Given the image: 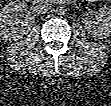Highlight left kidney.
Returning a JSON list of instances; mask_svg holds the SVG:
<instances>
[{"label":"left kidney","instance_id":"5707ae66","mask_svg":"<svg viewBox=\"0 0 111 106\" xmlns=\"http://www.w3.org/2000/svg\"><path fill=\"white\" fill-rule=\"evenodd\" d=\"M88 32L93 37L106 38L111 34V9L104 7L92 25H88Z\"/></svg>","mask_w":111,"mask_h":106}]
</instances>
